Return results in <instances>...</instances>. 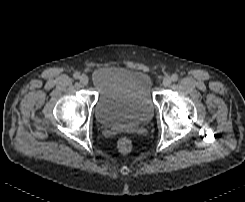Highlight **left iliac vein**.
Segmentation results:
<instances>
[{
	"label": "left iliac vein",
	"mask_w": 245,
	"mask_h": 202,
	"mask_svg": "<svg viewBox=\"0 0 245 202\" xmlns=\"http://www.w3.org/2000/svg\"><path fill=\"white\" fill-rule=\"evenodd\" d=\"M172 83V79L170 78V77H165L164 79H163V85L165 86V87H168V86H170V84Z\"/></svg>",
	"instance_id": "left-iliac-vein-1"
}]
</instances>
